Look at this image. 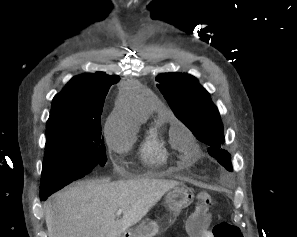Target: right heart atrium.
<instances>
[{"label":"right heart atrium","mask_w":297,"mask_h":237,"mask_svg":"<svg viewBox=\"0 0 297 237\" xmlns=\"http://www.w3.org/2000/svg\"><path fill=\"white\" fill-rule=\"evenodd\" d=\"M114 125H115V121L113 119H109L104 126V132H105L107 141L110 144H113L115 141V134L113 132Z\"/></svg>","instance_id":"obj_1"}]
</instances>
